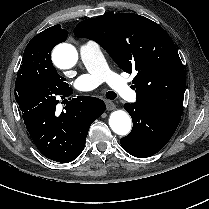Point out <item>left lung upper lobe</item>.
Segmentation results:
<instances>
[{
    "mask_svg": "<svg viewBox=\"0 0 209 209\" xmlns=\"http://www.w3.org/2000/svg\"><path fill=\"white\" fill-rule=\"evenodd\" d=\"M74 34L96 41L125 72H137L132 80L137 103L182 115L185 71L174 42L161 26L134 13H117L83 20Z\"/></svg>",
    "mask_w": 209,
    "mask_h": 209,
    "instance_id": "left-lung-upper-lobe-1",
    "label": "left lung upper lobe"
}]
</instances>
